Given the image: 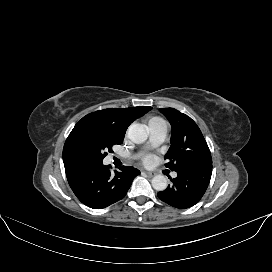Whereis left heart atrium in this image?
Returning a JSON list of instances; mask_svg holds the SVG:
<instances>
[{"instance_id": "left-heart-atrium-1", "label": "left heart atrium", "mask_w": 272, "mask_h": 272, "mask_svg": "<svg viewBox=\"0 0 272 272\" xmlns=\"http://www.w3.org/2000/svg\"><path fill=\"white\" fill-rule=\"evenodd\" d=\"M153 160V157L151 155H146L143 159L144 163L150 164Z\"/></svg>"}]
</instances>
